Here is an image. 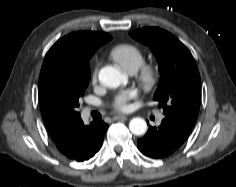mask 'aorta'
Segmentation results:
<instances>
[{
	"label": "aorta",
	"instance_id": "obj_1",
	"mask_svg": "<svg viewBox=\"0 0 236 187\" xmlns=\"http://www.w3.org/2000/svg\"><path fill=\"white\" fill-rule=\"evenodd\" d=\"M99 81L107 87L117 88L127 84V76L112 66H105L99 72ZM129 129L134 135H142L147 131V123L142 118H133Z\"/></svg>",
	"mask_w": 236,
	"mask_h": 187
}]
</instances>
